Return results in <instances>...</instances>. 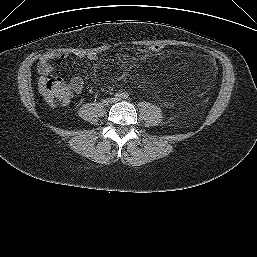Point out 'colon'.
Here are the masks:
<instances>
[{"label": "colon", "mask_w": 257, "mask_h": 257, "mask_svg": "<svg viewBox=\"0 0 257 257\" xmlns=\"http://www.w3.org/2000/svg\"><path fill=\"white\" fill-rule=\"evenodd\" d=\"M164 49L161 44L149 46L153 53H159ZM44 95L51 101L56 100L61 103H67L72 97V90L63 79L57 76H50L43 86Z\"/></svg>", "instance_id": "1"}]
</instances>
